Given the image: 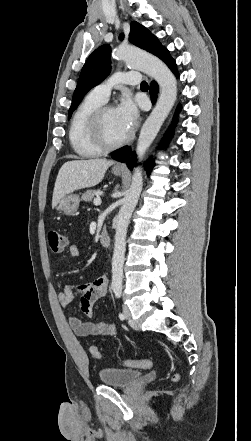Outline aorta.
Segmentation results:
<instances>
[{"mask_svg": "<svg viewBox=\"0 0 251 441\" xmlns=\"http://www.w3.org/2000/svg\"><path fill=\"white\" fill-rule=\"evenodd\" d=\"M114 59L124 61L129 67L141 70L153 77L160 86V96L140 131L137 143V156L143 158L157 136L177 98V81L168 67L157 57L132 47H118L112 54ZM143 186L142 170L134 169L131 186L123 199L117 216L114 252L112 258V289L121 290L123 264L126 250L128 224L138 202Z\"/></svg>", "mask_w": 251, "mask_h": 441, "instance_id": "1", "label": "aorta"}]
</instances>
